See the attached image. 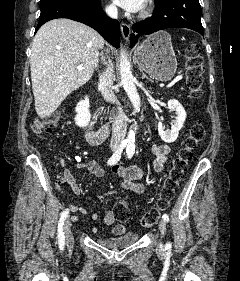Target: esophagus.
Instances as JSON below:
<instances>
[{"instance_id": "obj_1", "label": "esophagus", "mask_w": 240, "mask_h": 281, "mask_svg": "<svg viewBox=\"0 0 240 281\" xmlns=\"http://www.w3.org/2000/svg\"><path fill=\"white\" fill-rule=\"evenodd\" d=\"M121 33L123 35V38L128 41L130 34H131V27L129 24L122 22L121 23Z\"/></svg>"}]
</instances>
